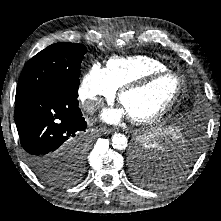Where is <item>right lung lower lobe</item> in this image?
<instances>
[{"mask_svg": "<svg viewBox=\"0 0 221 221\" xmlns=\"http://www.w3.org/2000/svg\"><path fill=\"white\" fill-rule=\"evenodd\" d=\"M77 97L66 90L48 89L15 101L14 120L25 158L35 173L44 164L64 168L75 149L87 142V124Z\"/></svg>", "mask_w": 221, "mask_h": 221, "instance_id": "right-lung-lower-lobe-1", "label": "right lung lower lobe"}]
</instances>
